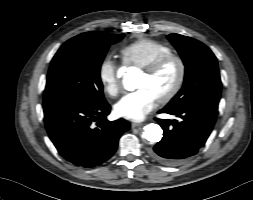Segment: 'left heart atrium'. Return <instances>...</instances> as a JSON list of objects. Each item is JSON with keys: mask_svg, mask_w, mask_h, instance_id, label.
Returning <instances> with one entry per match:
<instances>
[{"mask_svg": "<svg viewBox=\"0 0 253 200\" xmlns=\"http://www.w3.org/2000/svg\"><path fill=\"white\" fill-rule=\"evenodd\" d=\"M156 96L147 88H140L125 95L115 105L116 113L126 119L139 121L154 109Z\"/></svg>", "mask_w": 253, "mask_h": 200, "instance_id": "left-heart-atrium-1", "label": "left heart atrium"}]
</instances>
